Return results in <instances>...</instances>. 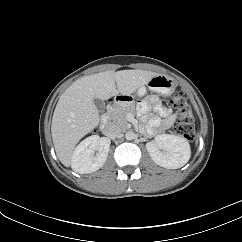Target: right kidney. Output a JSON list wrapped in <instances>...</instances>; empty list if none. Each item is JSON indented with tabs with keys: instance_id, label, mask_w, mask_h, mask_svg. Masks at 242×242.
<instances>
[{
	"instance_id": "ca27d5eb",
	"label": "right kidney",
	"mask_w": 242,
	"mask_h": 242,
	"mask_svg": "<svg viewBox=\"0 0 242 242\" xmlns=\"http://www.w3.org/2000/svg\"><path fill=\"white\" fill-rule=\"evenodd\" d=\"M110 141L106 137L92 135L74 149L71 167L79 174L92 173L100 169L108 156ZM97 154L95 155V152Z\"/></svg>"
}]
</instances>
